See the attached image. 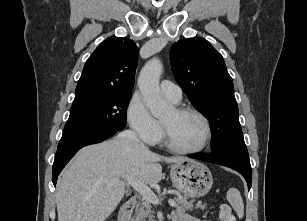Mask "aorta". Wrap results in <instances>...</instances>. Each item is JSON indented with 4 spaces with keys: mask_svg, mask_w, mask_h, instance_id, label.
<instances>
[{
    "mask_svg": "<svg viewBox=\"0 0 307 221\" xmlns=\"http://www.w3.org/2000/svg\"><path fill=\"white\" fill-rule=\"evenodd\" d=\"M162 70L161 61L154 57L144 65L138 77V87L146 106L157 118L165 115L170 109L160 94L159 79Z\"/></svg>",
    "mask_w": 307,
    "mask_h": 221,
    "instance_id": "aorta-1",
    "label": "aorta"
}]
</instances>
